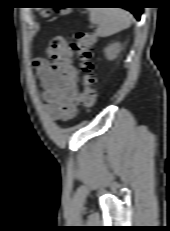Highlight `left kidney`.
<instances>
[{"label": "left kidney", "instance_id": "obj_1", "mask_svg": "<svg viewBox=\"0 0 170 231\" xmlns=\"http://www.w3.org/2000/svg\"><path fill=\"white\" fill-rule=\"evenodd\" d=\"M121 50L120 43H114L105 48V56L108 60H113L117 57Z\"/></svg>", "mask_w": 170, "mask_h": 231}]
</instances>
